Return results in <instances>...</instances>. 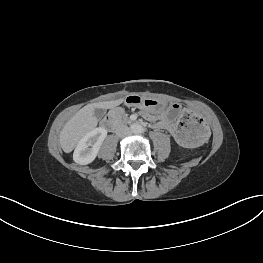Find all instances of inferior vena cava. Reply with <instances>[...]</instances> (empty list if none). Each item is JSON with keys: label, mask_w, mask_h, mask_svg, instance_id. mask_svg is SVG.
<instances>
[{"label": "inferior vena cava", "mask_w": 263, "mask_h": 263, "mask_svg": "<svg viewBox=\"0 0 263 263\" xmlns=\"http://www.w3.org/2000/svg\"><path fill=\"white\" fill-rule=\"evenodd\" d=\"M115 132L119 137H125L131 133L130 128L127 125L118 126Z\"/></svg>", "instance_id": "obj_1"}]
</instances>
